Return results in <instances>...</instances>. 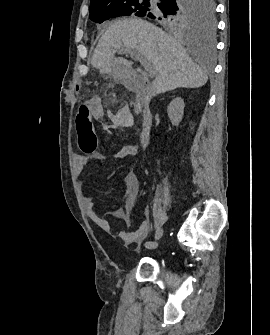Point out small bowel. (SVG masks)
Here are the masks:
<instances>
[{
    "label": "small bowel",
    "instance_id": "c3829d8e",
    "mask_svg": "<svg viewBox=\"0 0 270 335\" xmlns=\"http://www.w3.org/2000/svg\"><path fill=\"white\" fill-rule=\"evenodd\" d=\"M88 106L92 109L94 118L99 119L103 116V111L96 107V100H90L87 102ZM137 155V147L135 145H125L118 153L114 156V159L121 160L127 157H135ZM93 160H104L102 154H96L93 156L78 154L75 157V172L80 176L86 166ZM125 190L122 195L123 207L114 211L110 214L113 217L126 220L128 218L129 211L136 201L140 192V180L137 173L134 170H129L124 177ZM86 213L89 219L98 226L102 231L106 233H112L111 223L102 217H100L96 211L95 204L90 197L84 199ZM148 210L145 211L146 219L143 220L135 230L133 231H121L117 235L125 244L139 243L143 241L150 230V224L148 221Z\"/></svg>",
    "mask_w": 270,
    "mask_h": 335
}]
</instances>
